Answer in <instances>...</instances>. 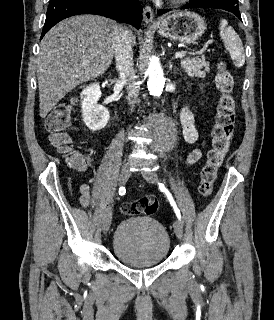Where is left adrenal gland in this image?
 I'll return each instance as SVG.
<instances>
[{
    "label": "left adrenal gland",
    "instance_id": "a2214340",
    "mask_svg": "<svg viewBox=\"0 0 274 320\" xmlns=\"http://www.w3.org/2000/svg\"><path fill=\"white\" fill-rule=\"evenodd\" d=\"M169 68L170 70H173L172 62H169ZM175 70H178V68H175Z\"/></svg>",
    "mask_w": 274,
    "mask_h": 320
}]
</instances>
